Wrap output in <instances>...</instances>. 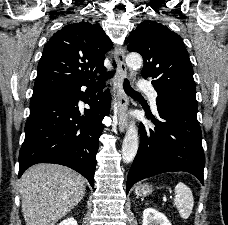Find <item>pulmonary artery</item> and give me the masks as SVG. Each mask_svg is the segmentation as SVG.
<instances>
[{
  "mask_svg": "<svg viewBox=\"0 0 228 225\" xmlns=\"http://www.w3.org/2000/svg\"><path fill=\"white\" fill-rule=\"evenodd\" d=\"M137 86H140L139 87L140 90H144L145 93L148 95L151 108L156 113L157 112L156 99L158 97L156 90L152 87V85H148V81H137Z\"/></svg>",
  "mask_w": 228,
  "mask_h": 225,
  "instance_id": "e3ab8cb5",
  "label": "pulmonary artery"
}]
</instances>
